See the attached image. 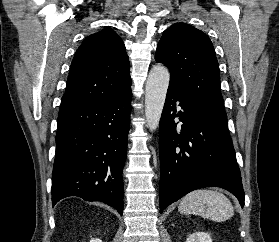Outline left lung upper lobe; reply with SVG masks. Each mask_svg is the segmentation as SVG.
Here are the masks:
<instances>
[{"label": "left lung upper lobe", "instance_id": "left-lung-upper-lobe-1", "mask_svg": "<svg viewBox=\"0 0 279 242\" xmlns=\"http://www.w3.org/2000/svg\"><path fill=\"white\" fill-rule=\"evenodd\" d=\"M155 60L169 68L170 84L184 97L227 124L219 65L212 42L205 33L189 24H173L164 31Z\"/></svg>", "mask_w": 279, "mask_h": 242}]
</instances>
